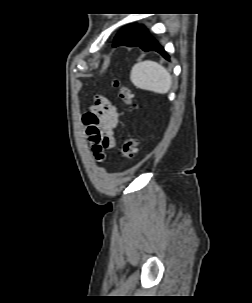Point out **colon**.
Listing matches in <instances>:
<instances>
[{
    "label": "colon",
    "instance_id": "colon-1",
    "mask_svg": "<svg viewBox=\"0 0 252 303\" xmlns=\"http://www.w3.org/2000/svg\"><path fill=\"white\" fill-rule=\"evenodd\" d=\"M112 85L118 89L119 100L130 108H134V96L132 90L127 87L120 79H113ZM122 155L128 160L133 161L136 157V140L133 137L124 139L121 147Z\"/></svg>",
    "mask_w": 252,
    "mask_h": 303
}]
</instances>
